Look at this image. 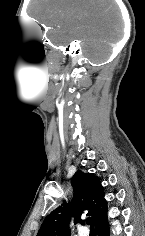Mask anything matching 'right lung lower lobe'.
Returning <instances> with one entry per match:
<instances>
[{"mask_svg": "<svg viewBox=\"0 0 145 236\" xmlns=\"http://www.w3.org/2000/svg\"><path fill=\"white\" fill-rule=\"evenodd\" d=\"M96 234L97 236H109V224H108V216L106 215L101 220H99L96 224Z\"/></svg>", "mask_w": 145, "mask_h": 236, "instance_id": "obj_1", "label": "right lung lower lobe"}]
</instances>
